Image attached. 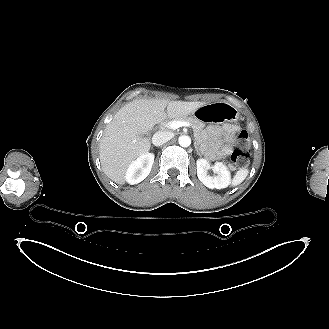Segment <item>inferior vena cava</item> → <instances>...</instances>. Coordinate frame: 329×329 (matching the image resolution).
Listing matches in <instances>:
<instances>
[{
  "label": "inferior vena cava",
  "instance_id": "1",
  "mask_svg": "<svg viewBox=\"0 0 329 329\" xmlns=\"http://www.w3.org/2000/svg\"><path fill=\"white\" fill-rule=\"evenodd\" d=\"M172 138V134L166 131H158L152 137V143L155 146H161Z\"/></svg>",
  "mask_w": 329,
  "mask_h": 329
}]
</instances>
